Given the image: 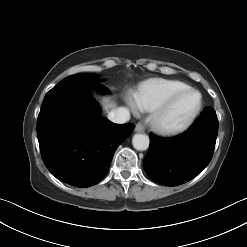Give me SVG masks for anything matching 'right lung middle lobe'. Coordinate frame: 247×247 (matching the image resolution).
<instances>
[{"label": "right lung middle lobe", "mask_w": 247, "mask_h": 247, "mask_svg": "<svg viewBox=\"0 0 247 247\" xmlns=\"http://www.w3.org/2000/svg\"><path fill=\"white\" fill-rule=\"evenodd\" d=\"M74 81H95V82H100L101 80L97 78L96 75H89V74H75L68 76L61 80L58 84H63V83H69V82H74Z\"/></svg>", "instance_id": "obj_1"}]
</instances>
